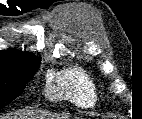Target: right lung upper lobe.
I'll return each mask as SVG.
<instances>
[{
	"label": "right lung upper lobe",
	"instance_id": "1",
	"mask_svg": "<svg viewBox=\"0 0 142 119\" xmlns=\"http://www.w3.org/2000/svg\"><path fill=\"white\" fill-rule=\"evenodd\" d=\"M38 62H40V60L31 53L12 49L0 51V68L24 66Z\"/></svg>",
	"mask_w": 142,
	"mask_h": 119
}]
</instances>
